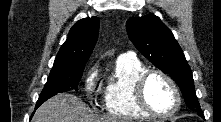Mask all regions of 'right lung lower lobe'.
Wrapping results in <instances>:
<instances>
[{"instance_id":"1","label":"right lung lower lobe","mask_w":221,"mask_h":122,"mask_svg":"<svg viewBox=\"0 0 221 122\" xmlns=\"http://www.w3.org/2000/svg\"><path fill=\"white\" fill-rule=\"evenodd\" d=\"M40 105H36L35 109H37ZM33 115V114H32Z\"/></svg>"}]
</instances>
